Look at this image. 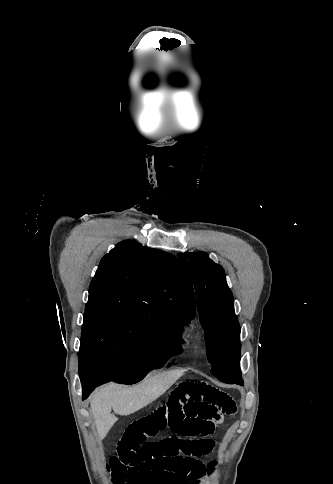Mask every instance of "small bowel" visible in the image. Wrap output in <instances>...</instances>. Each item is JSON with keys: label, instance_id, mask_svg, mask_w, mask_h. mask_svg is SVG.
I'll return each instance as SVG.
<instances>
[{"label": "small bowel", "instance_id": "obj_1", "mask_svg": "<svg viewBox=\"0 0 333 484\" xmlns=\"http://www.w3.org/2000/svg\"><path fill=\"white\" fill-rule=\"evenodd\" d=\"M236 412L234 400L205 382L184 381L149 414L132 421L109 460L117 484H202L216 463L200 458L213 451L209 436L224 416ZM163 431L159 442L146 439Z\"/></svg>", "mask_w": 333, "mask_h": 484}]
</instances>
